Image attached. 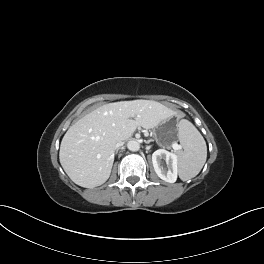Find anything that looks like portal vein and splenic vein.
<instances>
[{
  "mask_svg": "<svg viewBox=\"0 0 264 264\" xmlns=\"http://www.w3.org/2000/svg\"><path fill=\"white\" fill-rule=\"evenodd\" d=\"M172 148H173L174 150H178V149L180 148V146H179L177 143H173V144H172Z\"/></svg>",
  "mask_w": 264,
  "mask_h": 264,
  "instance_id": "18ae733b",
  "label": "portal vein and splenic vein"
}]
</instances>
